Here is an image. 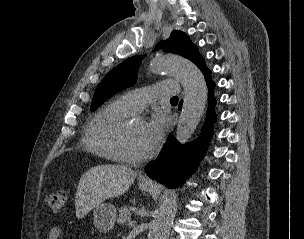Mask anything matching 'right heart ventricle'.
Wrapping results in <instances>:
<instances>
[{"mask_svg":"<svg viewBox=\"0 0 304 239\" xmlns=\"http://www.w3.org/2000/svg\"><path fill=\"white\" fill-rule=\"evenodd\" d=\"M133 113L121 99L106 104L85 126L82 140L85 149L103 159L119 162L115 136L120 125Z\"/></svg>","mask_w":304,"mask_h":239,"instance_id":"obj_1","label":"right heart ventricle"}]
</instances>
